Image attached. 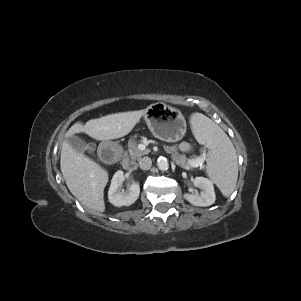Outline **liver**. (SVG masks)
Returning <instances> with one entry per match:
<instances>
[{
	"label": "liver",
	"instance_id": "liver-1",
	"mask_svg": "<svg viewBox=\"0 0 301 301\" xmlns=\"http://www.w3.org/2000/svg\"><path fill=\"white\" fill-rule=\"evenodd\" d=\"M144 114L142 110L122 112L91 119L85 125L75 123L66 137L84 132L96 140L117 139L130 133ZM60 167L70 192L88 209L104 212V188L108 173L82 153L76 152L67 140L62 144Z\"/></svg>",
	"mask_w": 301,
	"mask_h": 301
}]
</instances>
